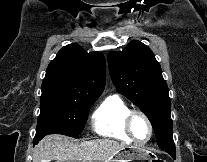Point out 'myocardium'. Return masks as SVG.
Listing matches in <instances>:
<instances>
[{
    "instance_id": "myocardium-1",
    "label": "myocardium",
    "mask_w": 207,
    "mask_h": 162,
    "mask_svg": "<svg viewBox=\"0 0 207 162\" xmlns=\"http://www.w3.org/2000/svg\"><path fill=\"white\" fill-rule=\"evenodd\" d=\"M136 116L142 117L145 120V122L147 123L148 129H149V135L144 140H138V139H136L135 136H134V134H133V132H132L131 124H132L133 119ZM124 130H125L126 134L128 135V137L133 142H136V143H146V142H148L152 138V135H153V125H152L149 117L144 112L138 111V110H132L126 116L125 121H124Z\"/></svg>"
}]
</instances>
